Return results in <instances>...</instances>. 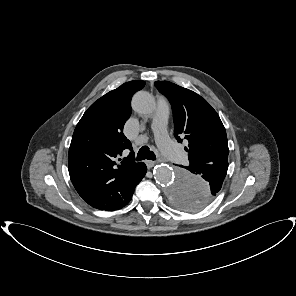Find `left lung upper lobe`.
<instances>
[{
    "label": "left lung upper lobe",
    "instance_id": "5c2ea615",
    "mask_svg": "<svg viewBox=\"0 0 296 296\" xmlns=\"http://www.w3.org/2000/svg\"><path fill=\"white\" fill-rule=\"evenodd\" d=\"M156 88L170 101L174 117V136L178 142L181 138L188 141L190 169L195 164L218 165L228 164V143L225 128L209 103L195 92L180 87L169 81H156ZM194 194L179 191L173 199V204L183 210H199L205 207L197 206Z\"/></svg>",
    "mask_w": 296,
    "mask_h": 296
}]
</instances>
